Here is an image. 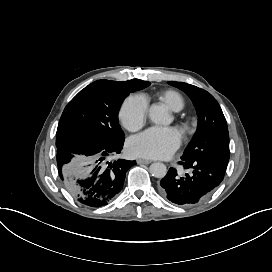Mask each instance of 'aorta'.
Returning <instances> with one entry per match:
<instances>
[{"mask_svg": "<svg viewBox=\"0 0 272 272\" xmlns=\"http://www.w3.org/2000/svg\"><path fill=\"white\" fill-rule=\"evenodd\" d=\"M150 119L156 124H162L167 119V109L165 105L152 104L149 109ZM150 173L156 178H164L167 174L166 165L160 162L150 165Z\"/></svg>", "mask_w": 272, "mask_h": 272, "instance_id": "aorta-1", "label": "aorta"}]
</instances>
